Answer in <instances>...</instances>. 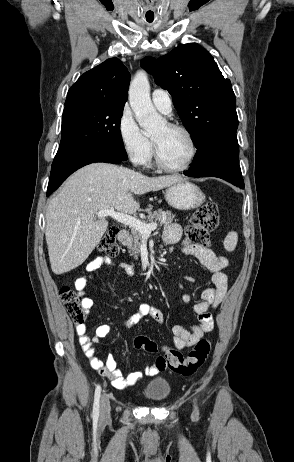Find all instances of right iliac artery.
Listing matches in <instances>:
<instances>
[{
	"label": "right iliac artery",
	"instance_id": "82829eb1",
	"mask_svg": "<svg viewBox=\"0 0 294 462\" xmlns=\"http://www.w3.org/2000/svg\"><path fill=\"white\" fill-rule=\"evenodd\" d=\"M101 395V387L97 385L94 395V404H93V418L97 419L99 417V400Z\"/></svg>",
	"mask_w": 294,
	"mask_h": 462
}]
</instances>
